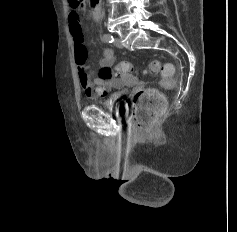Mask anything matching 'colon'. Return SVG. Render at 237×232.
Masks as SVG:
<instances>
[{
    "label": "colon",
    "instance_id": "obj_1",
    "mask_svg": "<svg viewBox=\"0 0 237 232\" xmlns=\"http://www.w3.org/2000/svg\"><path fill=\"white\" fill-rule=\"evenodd\" d=\"M68 2L72 11L77 14H81L85 9L84 0H68ZM132 71V65L125 61L120 62L116 67L118 74ZM146 73L149 75L161 73V85L165 89H171L175 84L174 68L171 65L162 66L159 61H152ZM164 109L165 100L158 90L152 88L140 90L134 96L132 122L140 131L148 133L163 114Z\"/></svg>",
    "mask_w": 237,
    "mask_h": 232
}]
</instances>
